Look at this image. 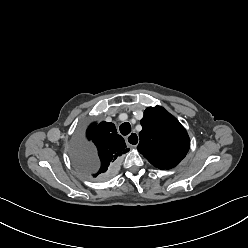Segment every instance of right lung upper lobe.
<instances>
[{"label":"right lung upper lobe","mask_w":248,"mask_h":248,"mask_svg":"<svg viewBox=\"0 0 248 248\" xmlns=\"http://www.w3.org/2000/svg\"><path fill=\"white\" fill-rule=\"evenodd\" d=\"M86 136L95 149L98 162L97 169L92 173L94 178L104 176L117 163L118 158L129 151L113 123H92Z\"/></svg>","instance_id":"1"}]
</instances>
